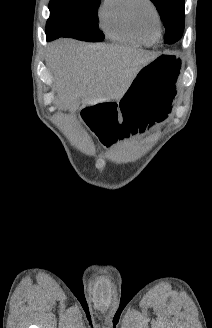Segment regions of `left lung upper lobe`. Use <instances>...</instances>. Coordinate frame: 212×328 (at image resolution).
<instances>
[{
    "mask_svg": "<svg viewBox=\"0 0 212 328\" xmlns=\"http://www.w3.org/2000/svg\"><path fill=\"white\" fill-rule=\"evenodd\" d=\"M163 21L166 36L165 43L177 42L184 30V0H151Z\"/></svg>",
    "mask_w": 212,
    "mask_h": 328,
    "instance_id": "left-lung-upper-lobe-1",
    "label": "left lung upper lobe"
}]
</instances>
